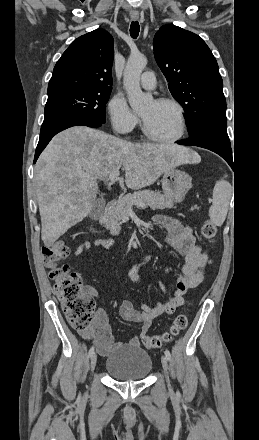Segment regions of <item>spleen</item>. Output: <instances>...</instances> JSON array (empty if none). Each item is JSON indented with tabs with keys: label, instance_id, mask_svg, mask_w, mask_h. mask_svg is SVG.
Here are the masks:
<instances>
[{
	"label": "spleen",
	"instance_id": "spleen-1",
	"mask_svg": "<svg viewBox=\"0 0 259 440\" xmlns=\"http://www.w3.org/2000/svg\"><path fill=\"white\" fill-rule=\"evenodd\" d=\"M226 177L225 175V178ZM231 196L232 186L228 181L222 179L215 184L213 189V203L209 209V216L213 224L221 226L224 223Z\"/></svg>",
	"mask_w": 259,
	"mask_h": 440
}]
</instances>
